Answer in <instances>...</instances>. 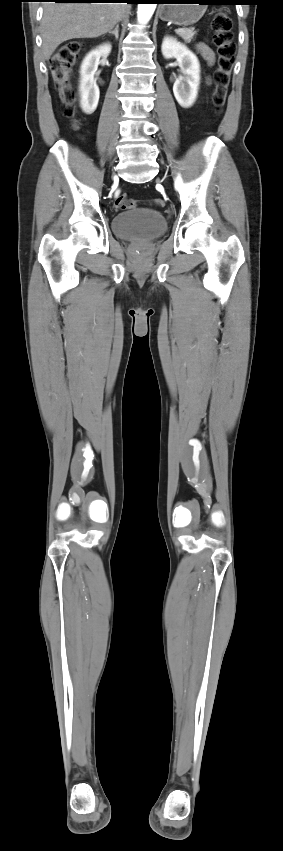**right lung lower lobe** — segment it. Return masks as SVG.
<instances>
[{
    "label": "right lung lower lobe",
    "instance_id": "obj_1",
    "mask_svg": "<svg viewBox=\"0 0 283 851\" xmlns=\"http://www.w3.org/2000/svg\"><path fill=\"white\" fill-rule=\"evenodd\" d=\"M53 2H91V3H108V2H121V3H131L137 4L142 0H46Z\"/></svg>",
    "mask_w": 283,
    "mask_h": 851
}]
</instances>
